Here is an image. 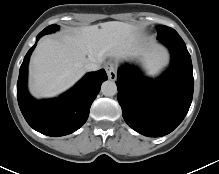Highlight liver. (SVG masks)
I'll return each mask as SVG.
<instances>
[{
  "label": "liver",
  "instance_id": "obj_1",
  "mask_svg": "<svg viewBox=\"0 0 219 174\" xmlns=\"http://www.w3.org/2000/svg\"><path fill=\"white\" fill-rule=\"evenodd\" d=\"M142 55L146 66L162 62V53L140 44L137 28L110 21L75 29L60 38L42 39L30 61V92L36 97L55 96L77 82L85 64L100 65L106 57L128 59Z\"/></svg>",
  "mask_w": 219,
  "mask_h": 174
}]
</instances>
